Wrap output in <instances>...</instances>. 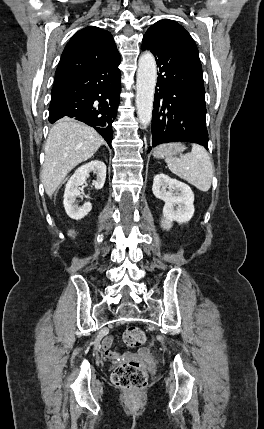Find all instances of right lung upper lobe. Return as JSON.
Instances as JSON below:
<instances>
[{
  "instance_id": "obj_1",
  "label": "right lung upper lobe",
  "mask_w": 264,
  "mask_h": 429,
  "mask_svg": "<svg viewBox=\"0 0 264 429\" xmlns=\"http://www.w3.org/2000/svg\"><path fill=\"white\" fill-rule=\"evenodd\" d=\"M116 52L110 32L93 26L83 28L67 43L56 70L54 85L92 69Z\"/></svg>"
}]
</instances>
